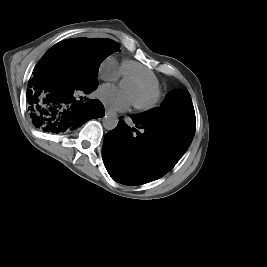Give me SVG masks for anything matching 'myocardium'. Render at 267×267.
<instances>
[{
    "instance_id": "f54148a6",
    "label": "myocardium",
    "mask_w": 267,
    "mask_h": 267,
    "mask_svg": "<svg viewBox=\"0 0 267 267\" xmlns=\"http://www.w3.org/2000/svg\"><path fill=\"white\" fill-rule=\"evenodd\" d=\"M130 82H133L139 86H144L148 89V97L146 100L144 101H134V106L137 109H141V110H147V109H151L152 107H154L156 105V103L159 100L160 97V92H157L155 90H152L147 84H145L143 81H141L138 78H129Z\"/></svg>"
}]
</instances>
